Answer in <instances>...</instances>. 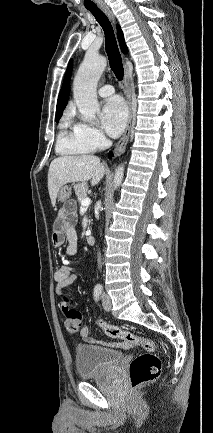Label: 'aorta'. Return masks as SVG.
<instances>
[{
	"mask_svg": "<svg viewBox=\"0 0 213 433\" xmlns=\"http://www.w3.org/2000/svg\"><path fill=\"white\" fill-rule=\"evenodd\" d=\"M107 60L104 56L87 53L73 82V96L85 122L93 123L100 110L97 100V83L105 70ZM124 166L119 165L114 175V188L117 189L123 180Z\"/></svg>",
	"mask_w": 213,
	"mask_h": 433,
	"instance_id": "762f6f07",
	"label": "aorta"
}]
</instances>
